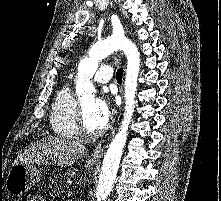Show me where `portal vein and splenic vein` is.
Instances as JSON below:
<instances>
[{
	"label": "portal vein and splenic vein",
	"instance_id": "1",
	"mask_svg": "<svg viewBox=\"0 0 221 201\" xmlns=\"http://www.w3.org/2000/svg\"><path fill=\"white\" fill-rule=\"evenodd\" d=\"M73 193L71 191L68 192V196H72Z\"/></svg>",
	"mask_w": 221,
	"mask_h": 201
}]
</instances>
